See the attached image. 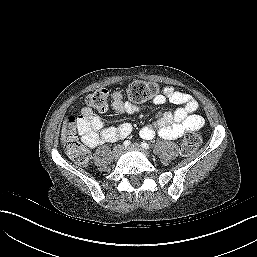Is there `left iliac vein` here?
<instances>
[{"instance_id": "obj_1", "label": "left iliac vein", "mask_w": 257, "mask_h": 257, "mask_svg": "<svg viewBox=\"0 0 257 257\" xmlns=\"http://www.w3.org/2000/svg\"><path fill=\"white\" fill-rule=\"evenodd\" d=\"M130 150L140 151L144 155L148 156V153L143 148H141L139 145H137V144H134L131 147L125 148V151H130Z\"/></svg>"}]
</instances>
